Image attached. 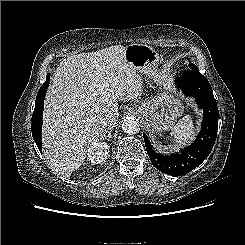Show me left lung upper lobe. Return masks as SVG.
Segmentation results:
<instances>
[{
  "label": "left lung upper lobe",
  "mask_w": 245,
  "mask_h": 245,
  "mask_svg": "<svg viewBox=\"0 0 245 245\" xmlns=\"http://www.w3.org/2000/svg\"><path fill=\"white\" fill-rule=\"evenodd\" d=\"M189 68H198L196 65H194L193 63L189 62Z\"/></svg>",
  "instance_id": "1"
}]
</instances>
